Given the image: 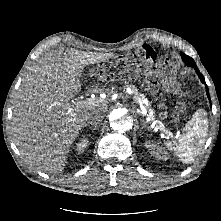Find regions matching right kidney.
I'll list each match as a JSON object with an SVG mask.
<instances>
[{"mask_svg":"<svg viewBox=\"0 0 221 221\" xmlns=\"http://www.w3.org/2000/svg\"><path fill=\"white\" fill-rule=\"evenodd\" d=\"M87 145H88V140H87V138H82V139L80 140V142H78V143L76 144V151H77L78 153H82V152L84 151V149L87 147Z\"/></svg>","mask_w":221,"mask_h":221,"instance_id":"ca27d5eb","label":"right kidney"}]
</instances>
